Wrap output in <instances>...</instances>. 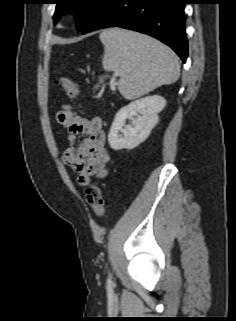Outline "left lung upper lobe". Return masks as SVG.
<instances>
[{"mask_svg": "<svg viewBox=\"0 0 236 321\" xmlns=\"http://www.w3.org/2000/svg\"><path fill=\"white\" fill-rule=\"evenodd\" d=\"M107 2L108 0H56L54 23L61 15L73 11L76 13L77 30L82 31Z\"/></svg>", "mask_w": 236, "mask_h": 321, "instance_id": "1", "label": "left lung upper lobe"}]
</instances>
